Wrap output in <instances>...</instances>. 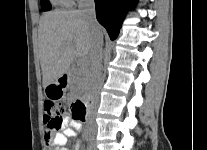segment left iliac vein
Returning <instances> with one entry per match:
<instances>
[{"mask_svg": "<svg viewBox=\"0 0 207 150\" xmlns=\"http://www.w3.org/2000/svg\"><path fill=\"white\" fill-rule=\"evenodd\" d=\"M91 150H96L94 147H91Z\"/></svg>", "mask_w": 207, "mask_h": 150, "instance_id": "1", "label": "left iliac vein"}]
</instances>
